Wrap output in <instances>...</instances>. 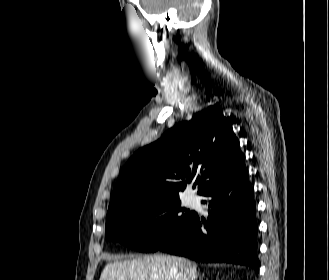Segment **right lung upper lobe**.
Returning <instances> with one entry per match:
<instances>
[{
  "label": "right lung upper lobe",
  "instance_id": "obj_1",
  "mask_svg": "<svg viewBox=\"0 0 329 280\" xmlns=\"http://www.w3.org/2000/svg\"><path fill=\"white\" fill-rule=\"evenodd\" d=\"M244 159L224 115L198 112L130 157L116 182L108 211L143 197L179 196L197 174L195 185L201 194Z\"/></svg>",
  "mask_w": 329,
  "mask_h": 280
}]
</instances>
